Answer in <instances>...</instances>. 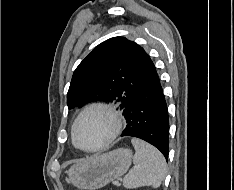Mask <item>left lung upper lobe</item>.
<instances>
[{"mask_svg":"<svg viewBox=\"0 0 234 190\" xmlns=\"http://www.w3.org/2000/svg\"><path fill=\"white\" fill-rule=\"evenodd\" d=\"M145 57L142 47L124 37L102 42L74 71L67 93L68 108L102 100L118 104L124 115L129 102L146 82Z\"/></svg>","mask_w":234,"mask_h":190,"instance_id":"5c2ea615","label":"left lung upper lobe"}]
</instances>
